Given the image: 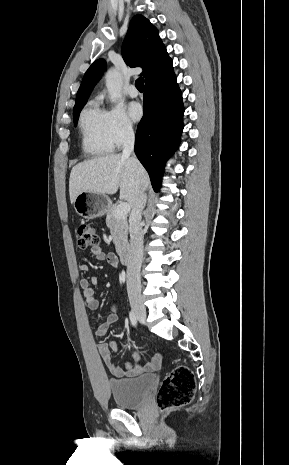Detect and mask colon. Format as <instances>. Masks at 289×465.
<instances>
[{
  "label": "colon",
  "instance_id": "colon-1",
  "mask_svg": "<svg viewBox=\"0 0 289 465\" xmlns=\"http://www.w3.org/2000/svg\"><path fill=\"white\" fill-rule=\"evenodd\" d=\"M99 242L93 226L81 225L78 228V246L93 249ZM195 376L184 365L175 367L162 381L156 395V403L161 411L172 410L190 403L195 392Z\"/></svg>",
  "mask_w": 289,
  "mask_h": 465
}]
</instances>
